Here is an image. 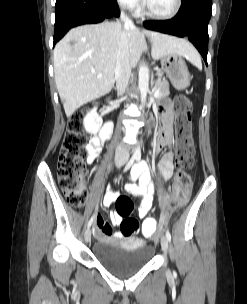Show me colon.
Segmentation results:
<instances>
[{
    "mask_svg": "<svg viewBox=\"0 0 247 304\" xmlns=\"http://www.w3.org/2000/svg\"><path fill=\"white\" fill-rule=\"evenodd\" d=\"M192 104L184 95L175 97V150L179 171L176 174L169 197L178 206L185 203L190 188V176L186 172L194 164L195 146L191 126ZM84 113L75 112L68 120L66 134L59 152L57 177L59 185L67 201L74 207H82L86 203L87 193L83 179L86 174L84 161L86 138L83 126ZM133 202L128 197H120L116 203V213L122 217L120 223L124 236L134 237L140 233V225L131 217ZM157 229L153 219L145 221L143 237L151 238Z\"/></svg>",
    "mask_w": 247,
    "mask_h": 304,
    "instance_id": "colon-1",
    "label": "colon"
}]
</instances>
